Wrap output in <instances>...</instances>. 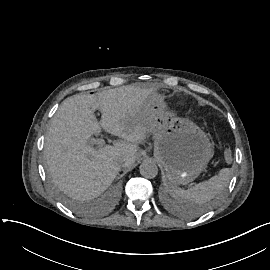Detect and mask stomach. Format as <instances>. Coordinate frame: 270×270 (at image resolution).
<instances>
[{
    "label": "stomach",
    "mask_w": 270,
    "mask_h": 270,
    "mask_svg": "<svg viewBox=\"0 0 270 270\" xmlns=\"http://www.w3.org/2000/svg\"><path fill=\"white\" fill-rule=\"evenodd\" d=\"M164 97L157 95L147 117L154 140V157L163 165L167 179L175 185L192 182L214 155L207 134L188 118L164 111Z\"/></svg>",
    "instance_id": "1"
}]
</instances>
